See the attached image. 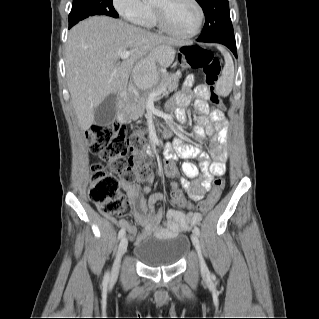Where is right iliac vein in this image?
<instances>
[{
    "mask_svg": "<svg viewBox=\"0 0 319 319\" xmlns=\"http://www.w3.org/2000/svg\"><path fill=\"white\" fill-rule=\"evenodd\" d=\"M127 247H128V240H127V237L124 236L119 243L117 253H116V258L112 267L113 277L116 276L119 272L120 260L122 256L125 254Z\"/></svg>",
    "mask_w": 319,
    "mask_h": 319,
    "instance_id": "right-iliac-vein-1",
    "label": "right iliac vein"
}]
</instances>
